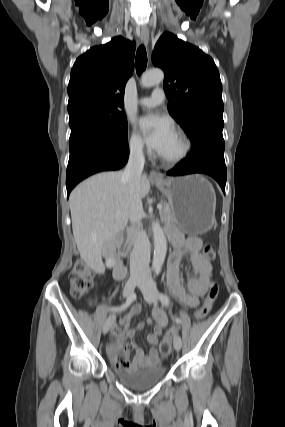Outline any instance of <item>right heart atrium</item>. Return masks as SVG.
Returning <instances> with one entry per match:
<instances>
[{"instance_id":"1","label":"right heart atrium","mask_w":285,"mask_h":427,"mask_svg":"<svg viewBox=\"0 0 285 427\" xmlns=\"http://www.w3.org/2000/svg\"><path fill=\"white\" fill-rule=\"evenodd\" d=\"M127 144L129 152L134 156L141 157L146 153V147L142 138L134 130L129 133Z\"/></svg>"}]
</instances>
